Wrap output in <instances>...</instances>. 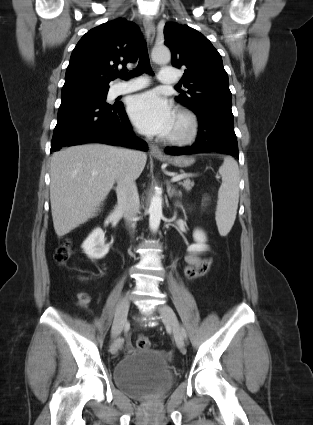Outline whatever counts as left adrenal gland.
Masks as SVG:
<instances>
[{"label": "left adrenal gland", "instance_id": "left-adrenal-gland-1", "mask_svg": "<svg viewBox=\"0 0 313 425\" xmlns=\"http://www.w3.org/2000/svg\"><path fill=\"white\" fill-rule=\"evenodd\" d=\"M167 193L170 199L173 196L177 197L181 195L180 191H177L173 186L170 185V182H167Z\"/></svg>", "mask_w": 313, "mask_h": 425}]
</instances>
